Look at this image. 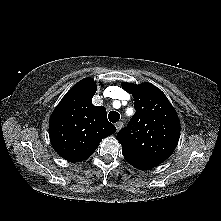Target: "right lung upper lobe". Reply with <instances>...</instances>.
<instances>
[{"instance_id": "1", "label": "right lung upper lobe", "mask_w": 221, "mask_h": 221, "mask_svg": "<svg viewBox=\"0 0 221 221\" xmlns=\"http://www.w3.org/2000/svg\"><path fill=\"white\" fill-rule=\"evenodd\" d=\"M96 90L93 79L79 81L66 93L50 117L52 146L70 162L89 158L102 139L116 131L107 120L106 109L91 102Z\"/></svg>"}]
</instances>
